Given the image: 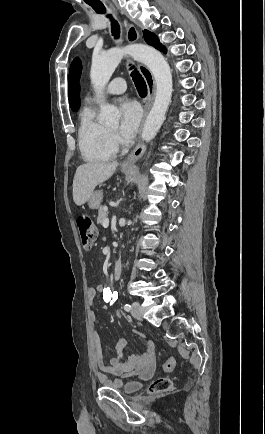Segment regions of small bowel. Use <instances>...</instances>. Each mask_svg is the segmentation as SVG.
<instances>
[{
	"label": "small bowel",
	"instance_id": "small-bowel-1",
	"mask_svg": "<svg viewBox=\"0 0 265 434\" xmlns=\"http://www.w3.org/2000/svg\"><path fill=\"white\" fill-rule=\"evenodd\" d=\"M105 287L102 284H97L87 290V299L89 303H93L98 293H104ZM116 316L123 318L124 314L121 310H116ZM91 318L96 319L95 312L91 313ZM140 338H145L142 333H137ZM94 345V362L101 371L100 376L104 378L106 387H120V378H111L108 373L119 376H137L140 380L146 381L150 379L155 372V345L152 341H147L146 348L141 355L125 357L124 349L127 347V341L119 338L116 343L114 355L109 359H105L104 350L99 334L95 331L92 336Z\"/></svg>",
	"mask_w": 265,
	"mask_h": 434
}]
</instances>
